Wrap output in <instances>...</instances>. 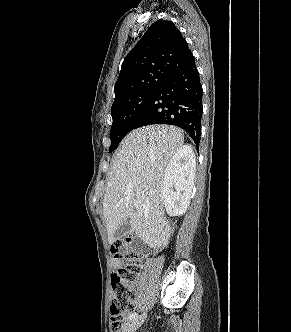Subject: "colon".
I'll return each instance as SVG.
<instances>
[{"mask_svg":"<svg viewBox=\"0 0 291 332\" xmlns=\"http://www.w3.org/2000/svg\"><path fill=\"white\" fill-rule=\"evenodd\" d=\"M131 239L118 240L112 245V253L123 262V267L111 276L113 296L110 304L112 332H120L127 314L133 308L135 284L142 264V254L130 247Z\"/></svg>","mask_w":291,"mask_h":332,"instance_id":"5ec220e1","label":"colon"}]
</instances>
